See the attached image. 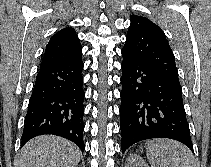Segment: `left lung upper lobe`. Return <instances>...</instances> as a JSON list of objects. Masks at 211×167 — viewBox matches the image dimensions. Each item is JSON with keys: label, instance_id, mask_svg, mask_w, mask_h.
Masks as SVG:
<instances>
[{"label": "left lung upper lobe", "instance_id": "left-lung-upper-lobe-1", "mask_svg": "<svg viewBox=\"0 0 211 167\" xmlns=\"http://www.w3.org/2000/svg\"><path fill=\"white\" fill-rule=\"evenodd\" d=\"M122 52L156 70L171 83L180 86L175 57L162 29L149 19L132 15Z\"/></svg>", "mask_w": 211, "mask_h": 167}]
</instances>
